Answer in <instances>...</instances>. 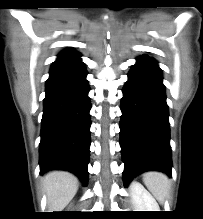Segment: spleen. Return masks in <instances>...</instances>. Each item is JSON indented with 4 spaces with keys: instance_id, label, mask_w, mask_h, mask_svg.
Here are the masks:
<instances>
[{
    "instance_id": "spleen-1",
    "label": "spleen",
    "mask_w": 203,
    "mask_h": 219,
    "mask_svg": "<svg viewBox=\"0 0 203 219\" xmlns=\"http://www.w3.org/2000/svg\"><path fill=\"white\" fill-rule=\"evenodd\" d=\"M143 181L153 196L160 203H163L170 189V182L167 176L160 172H147L143 176Z\"/></svg>"
}]
</instances>
